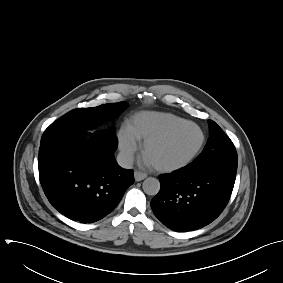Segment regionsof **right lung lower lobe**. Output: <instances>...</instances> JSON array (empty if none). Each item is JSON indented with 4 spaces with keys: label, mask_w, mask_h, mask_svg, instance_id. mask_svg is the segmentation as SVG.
<instances>
[{
    "label": "right lung lower lobe",
    "mask_w": 283,
    "mask_h": 283,
    "mask_svg": "<svg viewBox=\"0 0 283 283\" xmlns=\"http://www.w3.org/2000/svg\"><path fill=\"white\" fill-rule=\"evenodd\" d=\"M112 131L70 134L39 149V177L51 205L71 220L96 222L109 214L133 184V170L121 168Z\"/></svg>",
    "instance_id": "1"
}]
</instances>
